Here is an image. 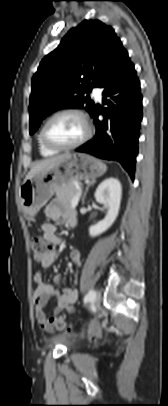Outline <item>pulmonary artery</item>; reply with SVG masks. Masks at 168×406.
Segmentation results:
<instances>
[{
	"label": "pulmonary artery",
	"mask_w": 168,
	"mask_h": 406,
	"mask_svg": "<svg viewBox=\"0 0 168 406\" xmlns=\"http://www.w3.org/2000/svg\"><path fill=\"white\" fill-rule=\"evenodd\" d=\"M92 94H93V96L95 97V99H96L97 101H100V100H101V91H100V89L94 88V89L92 90Z\"/></svg>",
	"instance_id": "e3ab8cb5"
}]
</instances>
